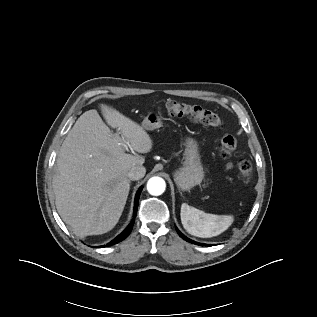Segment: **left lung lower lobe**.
Wrapping results in <instances>:
<instances>
[{
  "label": "left lung lower lobe",
  "mask_w": 317,
  "mask_h": 317,
  "mask_svg": "<svg viewBox=\"0 0 317 317\" xmlns=\"http://www.w3.org/2000/svg\"><path fill=\"white\" fill-rule=\"evenodd\" d=\"M176 231H177V233L179 234V236H180L181 238H183L184 240H186V241H188V242H190V243H192V244H196V245H200V246H211V245H208V244H201V243L195 242V241H193V240H190L189 238H187L186 236H184L177 228H176Z\"/></svg>",
  "instance_id": "obj_1"
}]
</instances>
